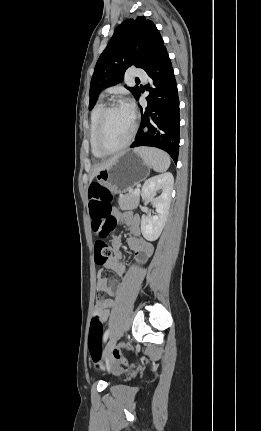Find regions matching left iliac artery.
<instances>
[{
	"mask_svg": "<svg viewBox=\"0 0 261 431\" xmlns=\"http://www.w3.org/2000/svg\"><path fill=\"white\" fill-rule=\"evenodd\" d=\"M108 336H109V330H106V332L104 333V336H103V342L107 341Z\"/></svg>",
	"mask_w": 261,
	"mask_h": 431,
	"instance_id": "1",
	"label": "left iliac artery"
}]
</instances>
